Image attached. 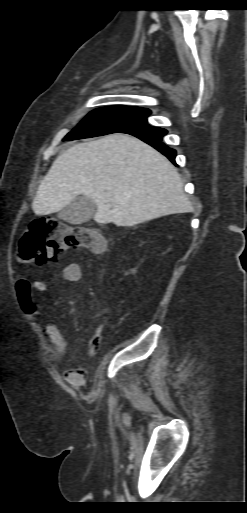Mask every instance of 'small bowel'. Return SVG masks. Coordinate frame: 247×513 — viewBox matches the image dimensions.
I'll return each instance as SVG.
<instances>
[{
    "instance_id": "obj_1",
    "label": "small bowel",
    "mask_w": 247,
    "mask_h": 513,
    "mask_svg": "<svg viewBox=\"0 0 247 513\" xmlns=\"http://www.w3.org/2000/svg\"><path fill=\"white\" fill-rule=\"evenodd\" d=\"M82 271L78 263H69L63 267L61 278L69 282H77L81 279ZM48 286V283L31 284L26 278L20 277L16 283V294L19 305L31 320H37L40 316V310L36 305L33 294L40 292ZM42 330L47 338L49 345L50 358L53 361H60L67 352V343L63 338L58 327L50 322H43ZM92 347L87 348V354L90 355ZM65 380L74 386H82L84 377L78 369H71L65 372Z\"/></svg>"
}]
</instances>
